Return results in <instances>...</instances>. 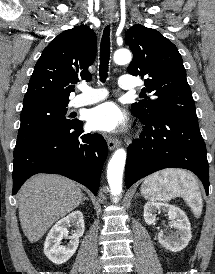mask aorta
Masks as SVG:
<instances>
[{
  "mask_svg": "<svg viewBox=\"0 0 215 274\" xmlns=\"http://www.w3.org/2000/svg\"><path fill=\"white\" fill-rule=\"evenodd\" d=\"M114 62L119 65L127 64L131 61L132 55L128 49H119L114 53ZM126 162V151L122 148L115 151L108 164L107 179L111 194L117 201V196L122 192V178Z\"/></svg>",
  "mask_w": 215,
  "mask_h": 274,
  "instance_id": "aorta-1",
  "label": "aorta"
}]
</instances>
